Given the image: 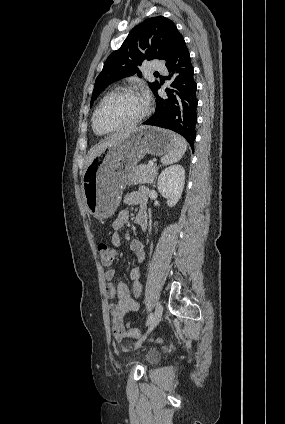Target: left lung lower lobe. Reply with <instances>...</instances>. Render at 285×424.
<instances>
[{"label": "left lung lower lobe", "instance_id": "0a47b994", "mask_svg": "<svg viewBox=\"0 0 285 424\" xmlns=\"http://www.w3.org/2000/svg\"><path fill=\"white\" fill-rule=\"evenodd\" d=\"M166 67L171 73L172 89H166L167 98L156 96V111L152 117L143 124L167 128L182 135L194 150L193 143L196 137L195 125L197 122L196 108V83L194 71L190 61V54L186 47L183 36L177 41L172 53L166 61Z\"/></svg>", "mask_w": 285, "mask_h": 424}]
</instances>
